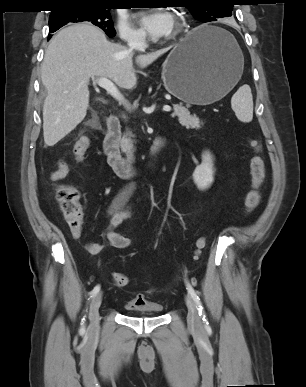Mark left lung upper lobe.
I'll return each mask as SVG.
<instances>
[{
	"instance_id": "5c2ea615",
	"label": "left lung upper lobe",
	"mask_w": 306,
	"mask_h": 387,
	"mask_svg": "<svg viewBox=\"0 0 306 387\" xmlns=\"http://www.w3.org/2000/svg\"><path fill=\"white\" fill-rule=\"evenodd\" d=\"M233 0H184L192 15L202 21H216L217 18L232 16Z\"/></svg>"
}]
</instances>
